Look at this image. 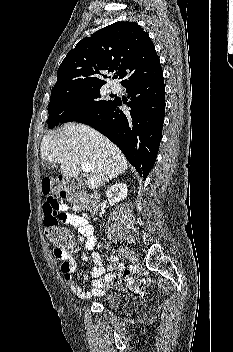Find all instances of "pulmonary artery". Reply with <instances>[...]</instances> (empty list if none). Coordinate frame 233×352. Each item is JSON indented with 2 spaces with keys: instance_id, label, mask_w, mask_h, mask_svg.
<instances>
[{
  "instance_id": "pulmonary-artery-1",
  "label": "pulmonary artery",
  "mask_w": 233,
  "mask_h": 352,
  "mask_svg": "<svg viewBox=\"0 0 233 352\" xmlns=\"http://www.w3.org/2000/svg\"><path fill=\"white\" fill-rule=\"evenodd\" d=\"M111 88H112V90H114V91H119V89H120V86L118 85V84H112V86H111Z\"/></svg>"
}]
</instances>
